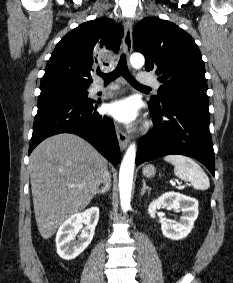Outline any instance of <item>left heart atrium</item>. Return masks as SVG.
Wrapping results in <instances>:
<instances>
[{
  "mask_svg": "<svg viewBox=\"0 0 233 283\" xmlns=\"http://www.w3.org/2000/svg\"><path fill=\"white\" fill-rule=\"evenodd\" d=\"M108 113L118 122L131 124L138 116V107L134 99L126 98L111 103Z\"/></svg>",
  "mask_w": 233,
  "mask_h": 283,
  "instance_id": "39dd6f15",
  "label": "left heart atrium"
}]
</instances>
